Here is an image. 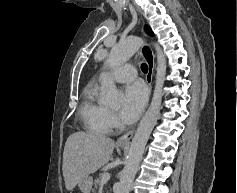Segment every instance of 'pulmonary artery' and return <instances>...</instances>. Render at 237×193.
Masks as SVG:
<instances>
[{
	"instance_id": "obj_1",
	"label": "pulmonary artery",
	"mask_w": 237,
	"mask_h": 193,
	"mask_svg": "<svg viewBox=\"0 0 237 193\" xmlns=\"http://www.w3.org/2000/svg\"><path fill=\"white\" fill-rule=\"evenodd\" d=\"M137 71L135 66L126 64L117 68L112 74L111 77L117 82H129L136 77Z\"/></svg>"
}]
</instances>
